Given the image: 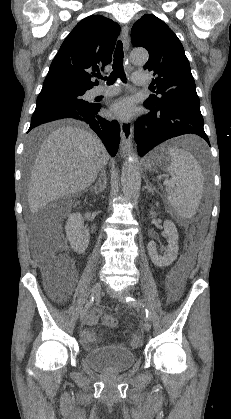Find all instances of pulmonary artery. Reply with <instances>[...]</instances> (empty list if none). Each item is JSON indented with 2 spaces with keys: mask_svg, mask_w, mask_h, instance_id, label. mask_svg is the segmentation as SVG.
I'll list each match as a JSON object with an SVG mask.
<instances>
[{
  "mask_svg": "<svg viewBox=\"0 0 231 419\" xmlns=\"http://www.w3.org/2000/svg\"><path fill=\"white\" fill-rule=\"evenodd\" d=\"M132 81L133 83L137 85H146L148 83V77L143 73L136 72L132 74ZM118 92H119V88L117 87L97 86L90 91V96L91 97H97L101 95L109 96V95L117 94Z\"/></svg>",
  "mask_w": 231,
  "mask_h": 419,
  "instance_id": "pulmonary-artery-1",
  "label": "pulmonary artery"
}]
</instances>
